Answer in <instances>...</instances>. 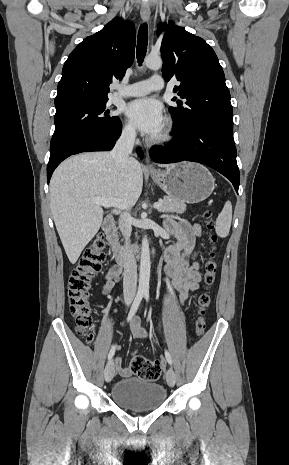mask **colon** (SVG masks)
I'll list each match as a JSON object with an SVG mask.
<instances>
[{
    "label": "colon",
    "instance_id": "obj_1",
    "mask_svg": "<svg viewBox=\"0 0 289 465\" xmlns=\"http://www.w3.org/2000/svg\"><path fill=\"white\" fill-rule=\"evenodd\" d=\"M204 218L207 222L208 230L213 231L215 229V221L212 212L210 210L205 211ZM217 240V235L212 233L210 236L212 247L209 252V258L205 262L203 273V282L206 290L214 284L216 278L217 262L214 244ZM104 250V236L98 234L85 249L78 265L71 272L68 281L70 310L75 318L78 333L84 337L87 342H92L93 340V334L91 332L93 318L89 291L92 279L100 270L105 259ZM210 303L211 297L208 291L202 292L197 298L196 305L198 317L195 322V330L198 336H201L205 331V315ZM130 368L140 379L156 381L162 375L163 361L151 360L141 354L134 353L131 357Z\"/></svg>",
    "mask_w": 289,
    "mask_h": 465
}]
</instances>
